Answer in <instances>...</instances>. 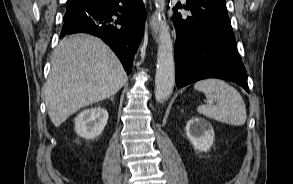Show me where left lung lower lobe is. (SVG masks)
I'll use <instances>...</instances> for the list:
<instances>
[{
  "instance_id": "1",
  "label": "left lung lower lobe",
  "mask_w": 293,
  "mask_h": 184,
  "mask_svg": "<svg viewBox=\"0 0 293 184\" xmlns=\"http://www.w3.org/2000/svg\"><path fill=\"white\" fill-rule=\"evenodd\" d=\"M184 9L173 8L176 29V85L220 78L235 82L249 92L247 73L237 51L235 36L227 15L226 0H187Z\"/></svg>"
}]
</instances>
